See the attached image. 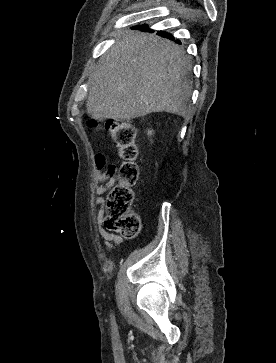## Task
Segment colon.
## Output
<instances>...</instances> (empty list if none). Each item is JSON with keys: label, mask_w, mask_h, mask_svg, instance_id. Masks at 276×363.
I'll use <instances>...</instances> for the list:
<instances>
[{"label": "colon", "mask_w": 276, "mask_h": 363, "mask_svg": "<svg viewBox=\"0 0 276 363\" xmlns=\"http://www.w3.org/2000/svg\"><path fill=\"white\" fill-rule=\"evenodd\" d=\"M106 130L114 140L122 162L117 171V182L106 197L104 227L124 237H135L141 228L140 216L132 211L134 187L139 179L136 128L131 122L110 121Z\"/></svg>", "instance_id": "obj_1"}]
</instances>
